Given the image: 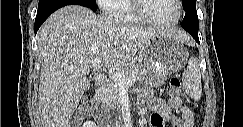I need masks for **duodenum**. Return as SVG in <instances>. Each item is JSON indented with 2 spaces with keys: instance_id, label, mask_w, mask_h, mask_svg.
I'll return each instance as SVG.
<instances>
[{
  "instance_id": "duodenum-1",
  "label": "duodenum",
  "mask_w": 243,
  "mask_h": 127,
  "mask_svg": "<svg viewBox=\"0 0 243 127\" xmlns=\"http://www.w3.org/2000/svg\"><path fill=\"white\" fill-rule=\"evenodd\" d=\"M106 82H107V79L105 76L103 75H97L95 77V86H96V89L97 90H101L105 85H106ZM91 102H92V105H93V113H94V117L96 119H98L99 117V113H98V110L96 109V105H97V99L95 96H93L91 98Z\"/></svg>"
}]
</instances>
